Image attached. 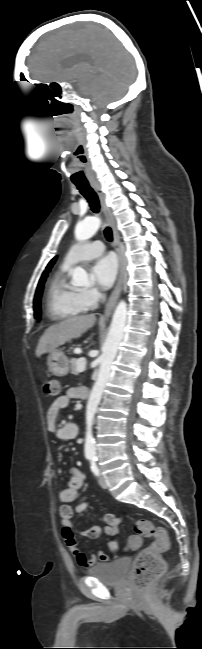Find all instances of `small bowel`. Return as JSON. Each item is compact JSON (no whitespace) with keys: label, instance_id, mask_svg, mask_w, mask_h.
Masks as SVG:
<instances>
[{"label":"small bowel","instance_id":"1","mask_svg":"<svg viewBox=\"0 0 202 649\" xmlns=\"http://www.w3.org/2000/svg\"><path fill=\"white\" fill-rule=\"evenodd\" d=\"M84 387H71L67 390L65 395L55 399L49 406L46 412V426L48 432L59 440H69L76 436L78 426L74 421H68L63 425L58 424V417L61 410L68 407L71 399L84 398ZM68 486L62 490L60 500L64 505L60 508V517L63 525L62 535L66 545L70 548L76 557L78 564L82 567L93 566L97 561H108L113 555L116 554L118 543L117 536L119 534V525L121 517L114 514H105V526L103 528L94 526L89 529H81L72 523L75 513H83L89 507L88 502H82L72 508L69 504L73 503L77 497L79 490L84 484V476L82 472L75 466L69 469ZM109 537L108 547L110 553L97 549L96 553L87 554L78 549V536L87 537L91 539L98 538L101 533Z\"/></svg>","mask_w":202,"mask_h":649}]
</instances>
